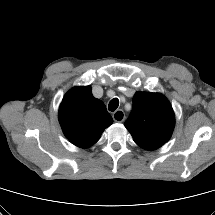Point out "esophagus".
<instances>
[{"instance_id":"34e87169","label":"esophagus","mask_w":215,"mask_h":215,"mask_svg":"<svg viewBox=\"0 0 215 215\" xmlns=\"http://www.w3.org/2000/svg\"><path fill=\"white\" fill-rule=\"evenodd\" d=\"M112 117L115 122H123L125 120V113L123 110L119 109L113 113Z\"/></svg>"}]
</instances>
